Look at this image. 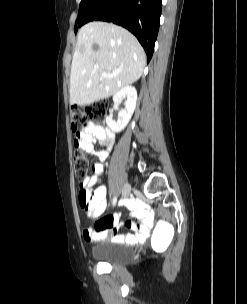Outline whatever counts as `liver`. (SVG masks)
Returning <instances> with one entry per match:
<instances>
[{"mask_svg":"<svg viewBox=\"0 0 247 304\" xmlns=\"http://www.w3.org/2000/svg\"><path fill=\"white\" fill-rule=\"evenodd\" d=\"M145 65V52L128 30L100 21L84 25L71 65V104L88 105L116 94L136 82ZM102 73L110 76L102 77Z\"/></svg>","mask_w":247,"mask_h":304,"instance_id":"liver-1","label":"liver"}]
</instances>
